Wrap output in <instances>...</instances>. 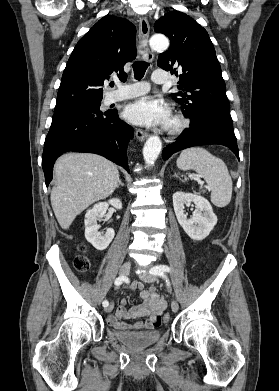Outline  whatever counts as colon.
Masks as SVG:
<instances>
[{
	"instance_id": "obj_1",
	"label": "colon",
	"mask_w": 279,
	"mask_h": 391,
	"mask_svg": "<svg viewBox=\"0 0 279 391\" xmlns=\"http://www.w3.org/2000/svg\"><path fill=\"white\" fill-rule=\"evenodd\" d=\"M79 250H80L81 252H83V251L85 250V246H84V245H80V246H79ZM73 264H74L75 269L78 270V271H80V272H86V271H88L89 268H90V261H89V259H88L85 255H83V254L77 255V256L75 257V259H74ZM169 318H170L169 314H165V315L163 316V320H164V321H168Z\"/></svg>"
}]
</instances>
